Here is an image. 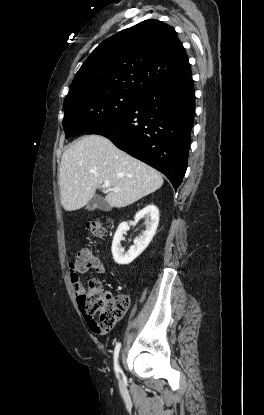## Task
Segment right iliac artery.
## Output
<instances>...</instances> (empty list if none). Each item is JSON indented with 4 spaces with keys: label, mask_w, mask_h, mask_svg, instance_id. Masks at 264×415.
I'll use <instances>...</instances> for the list:
<instances>
[{
    "label": "right iliac artery",
    "mask_w": 264,
    "mask_h": 415,
    "mask_svg": "<svg viewBox=\"0 0 264 415\" xmlns=\"http://www.w3.org/2000/svg\"><path fill=\"white\" fill-rule=\"evenodd\" d=\"M120 347H121V343L118 342L115 346V349H114V369H115V372H116V376L118 378H119V371H120V368H119V365H118V355H119V352H120Z\"/></svg>",
    "instance_id": "82829eb1"
}]
</instances>
